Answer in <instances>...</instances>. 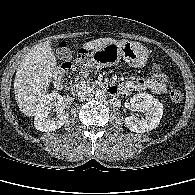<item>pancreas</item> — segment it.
Returning a JSON list of instances; mask_svg holds the SVG:
<instances>
[{
    "mask_svg": "<svg viewBox=\"0 0 195 195\" xmlns=\"http://www.w3.org/2000/svg\"><path fill=\"white\" fill-rule=\"evenodd\" d=\"M93 84H97V82H93Z\"/></svg>",
    "mask_w": 195,
    "mask_h": 195,
    "instance_id": "pancreas-1",
    "label": "pancreas"
}]
</instances>
